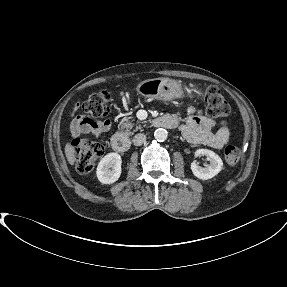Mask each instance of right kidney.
Instances as JSON below:
<instances>
[{
  "instance_id": "ca27d5eb",
  "label": "right kidney",
  "mask_w": 287,
  "mask_h": 287,
  "mask_svg": "<svg viewBox=\"0 0 287 287\" xmlns=\"http://www.w3.org/2000/svg\"><path fill=\"white\" fill-rule=\"evenodd\" d=\"M122 159L118 153H109L104 156L97 166L96 175L102 184H112L121 175Z\"/></svg>"
}]
</instances>
